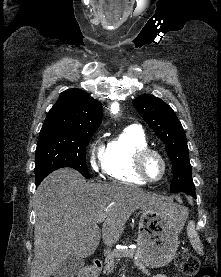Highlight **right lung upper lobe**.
I'll use <instances>...</instances> for the list:
<instances>
[{"mask_svg": "<svg viewBox=\"0 0 221 277\" xmlns=\"http://www.w3.org/2000/svg\"><path fill=\"white\" fill-rule=\"evenodd\" d=\"M103 115L102 105L80 89L62 92L51 108L41 131L46 130H97Z\"/></svg>", "mask_w": 221, "mask_h": 277, "instance_id": "1", "label": "right lung upper lobe"}]
</instances>
